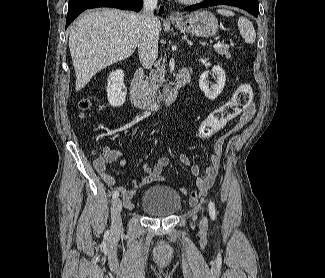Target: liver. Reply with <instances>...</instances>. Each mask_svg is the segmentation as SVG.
<instances>
[{"instance_id":"obj_1","label":"liver","mask_w":325,"mask_h":278,"mask_svg":"<svg viewBox=\"0 0 325 278\" xmlns=\"http://www.w3.org/2000/svg\"><path fill=\"white\" fill-rule=\"evenodd\" d=\"M158 30L161 23L157 19ZM141 15L117 9H96L81 15L69 28V49L76 91L105 67L130 57L137 48Z\"/></svg>"}]
</instances>
